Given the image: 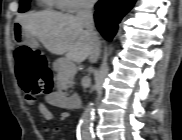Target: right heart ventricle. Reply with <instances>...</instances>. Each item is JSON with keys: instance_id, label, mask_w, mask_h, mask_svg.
I'll list each match as a JSON object with an SVG mask.
<instances>
[{"instance_id": "right-heart-ventricle-1", "label": "right heart ventricle", "mask_w": 182, "mask_h": 140, "mask_svg": "<svg viewBox=\"0 0 182 140\" xmlns=\"http://www.w3.org/2000/svg\"><path fill=\"white\" fill-rule=\"evenodd\" d=\"M44 2H45L46 7H48V8H53V7L60 8V6L62 4L61 0H47Z\"/></svg>"}]
</instances>
